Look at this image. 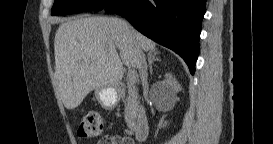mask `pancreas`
Instances as JSON below:
<instances>
[{
	"label": "pancreas",
	"instance_id": "cf45deb5",
	"mask_svg": "<svg viewBox=\"0 0 273 144\" xmlns=\"http://www.w3.org/2000/svg\"><path fill=\"white\" fill-rule=\"evenodd\" d=\"M143 113V108L139 102V95L133 86H129L128 96L125 99V122L132 129L137 117Z\"/></svg>",
	"mask_w": 273,
	"mask_h": 144
}]
</instances>
